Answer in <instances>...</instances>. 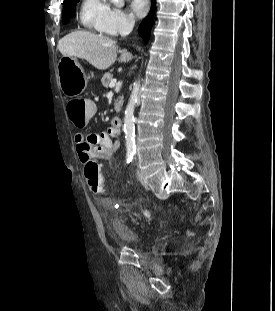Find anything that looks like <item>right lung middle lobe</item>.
<instances>
[{
    "instance_id": "right-lung-middle-lobe-1",
    "label": "right lung middle lobe",
    "mask_w": 275,
    "mask_h": 311,
    "mask_svg": "<svg viewBox=\"0 0 275 311\" xmlns=\"http://www.w3.org/2000/svg\"><path fill=\"white\" fill-rule=\"evenodd\" d=\"M79 0H64L63 2V15H62V22L68 23L70 18L73 16V13L76 9V3Z\"/></svg>"
}]
</instances>
